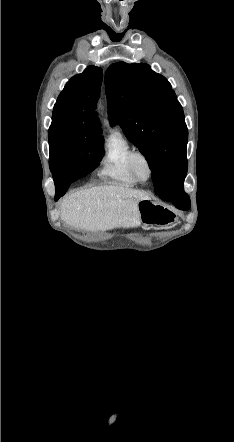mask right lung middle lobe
<instances>
[{"label": "right lung middle lobe", "instance_id": "1", "mask_svg": "<svg viewBox=\"0 0 234 442\" xmlns=\"http://www.w3.org/2000/svg\"><path fill=\"white\" fill-rule=\"evenodd\" d=\"M48 137L52 174L71 168V182L94 170L104 155L102 136L85 134L70 122L52 121Z\"/></svg>", "mask_w": 234, "mask_h": 442}]
</instances>
